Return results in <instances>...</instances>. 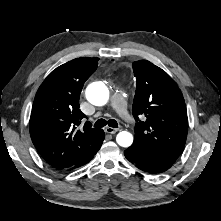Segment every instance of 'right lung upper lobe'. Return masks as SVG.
<instances>
[{
	"label": "right lung upper lobe",
	"mask_w": 221,
	"mask_h": 221,
	"mask_svg": "<svg viewBox=\"0 0 221 221\" xmlns=\"http://www.w3.org/2000/svg\"><path fill=\"white\" fill-rule=\"evenodd\" d=\"M99 58H77L52 71L39 87L30 117L33 144L52 167L68 169L91 157L104 136L92 128L79 109L84 82L98 66Z\"/></svg>",
	"instance_id": "1"
}]
</instances>
